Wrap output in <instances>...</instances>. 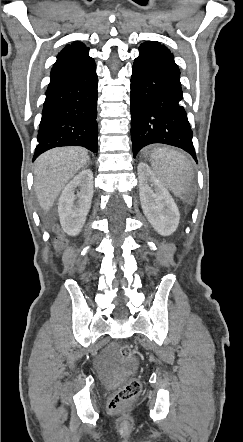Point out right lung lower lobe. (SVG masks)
I'll return each instance as SVG.
<instances>
[{"label":"right lung lower lobe","instance_id":"98d812e1","mask_svg":"<svg viewBox=\"0 0 243 442\" xmlns=\"http://www.w3.org/2000/svg\"><path fill=\"white\" fill-rule=\"evenodd\" d=\"M33 160L60 146L98 151L96 65L88 49L57 59L50 75Z\"/></svg>","mask_w":243,"mask_h":442}]
</instances>
